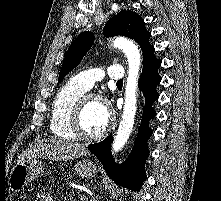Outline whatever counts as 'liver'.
I'll list each match as a JSON object with an SVG mask.
<instances>
[{
	"mask_svg": "<svg viewBox=\"0 0 221 201\" xmlns=\"http://www.w3.org/2000/svg\"><path fill=\"white\" fill-rule=\"evenodd\" d=\"M88 154V150L78 143L51 138L35 143L21 155V160L46 157L53 160H69Z\"/></svg>",
	"mask_w": 221,
	"mask_h": 201,
	"instance_id": "6515ba94",
	"label": "liver"
}]
</instances>
